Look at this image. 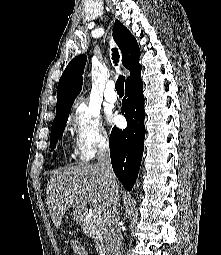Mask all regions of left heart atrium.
I'll return each mask as SVG.
<instances>
[{
    "instance_id": "39dd6f15",
    "label": "left heart atrium",
    "mask_w": 221,
    "mask_h": 255,
    "mask_svg": "<svg viewBox=\"0 0 221 255\" xmlns=\"http://www.w3.org/2000/svg\"><path fill=\"white\" fill-rule=\"evenodd\" d=\"M106 117H107V120L109 122H115L117 120V117L115 116V114H113L112 112L110 111H107L106 112Z\"/></svg>"
}]
</instances>
